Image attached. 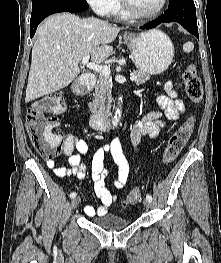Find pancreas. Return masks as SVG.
Instances as JSON below:
<instances>
[{
  "label": "pancreas",
  "instance_id": "pancreas-1",
  "mask_svg": "<svg viewBox=\"0 0 221 263\" xmlns=\"http://www.w3.org/2000/svg\"><path fill=\"white\" fill-rule=\"evenodd\" d=\"M133 74L136 76V79L134 80L136 85H142L151 78L149 74L140 70H135ZM111 87V79L100 74L95 85V99L92 104L93 108L99 107L101 110H108L110 108L112 101Z\"/></svg>",
  "mask_w": 221,
  "mask_h": 263
}]
</instances>
